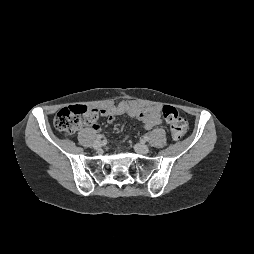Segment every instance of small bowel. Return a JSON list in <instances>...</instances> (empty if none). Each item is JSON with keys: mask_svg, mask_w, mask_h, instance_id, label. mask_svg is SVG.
Listing matches in <instances>:
<instances>
[{"mask_svg": "<svg viewBox=\"0 0 254 254\" xmlns=\"http://www.w3.org/2000/svg\"><path fill=\"white\" fill-rule=\"evenodd\" d=\"M99 113L109 123L113 122L116 117L126 114L131 118L141 121L147 130L163 123L161 107L157 105L143 106L134 102L121 101L117 105L99 110ZM92 128L96 131L100 129L97 120L92 123Z\"/></svg>", "mask_w": 254, "mask_h": 254, "instance_id": "1", "label": "small bowel"}]
</instances>
